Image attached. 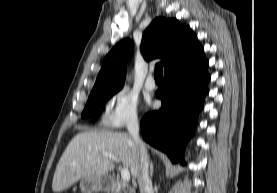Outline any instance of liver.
<instances>
[{"mask_svg":"<svg viewBox=\"0 0 277 193\" xmlns=\"http://www.w3.org/2000/svg\"><path fill=\"white\" fill-rule=\"evenodd\" d=\"M116 156L133 178L140 171L139 149L129 134L105 130L85 131L77 134L62 154L52 182L54 192H62L78 180L89 176H103L115 167L112 159L103 153Z\"/></svg>","mask_w":277,"mask_h":193,"instance_id":"1","label":"liver"}]
</instances>
